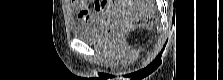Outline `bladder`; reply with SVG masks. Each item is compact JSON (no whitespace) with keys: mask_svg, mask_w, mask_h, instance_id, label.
<instances>
[{"mask_svg":"<svg viewBox=\"0 0 223 80\" xmlns=\"http://www.w3.org/2000/svg\"><path fill=\"white\" fill-rule=\"evenodd\" d=\"M111 12H105L97 18L86 22L75 23L71 25L72 35L80 40L94 41L104 29L106 21L110 18Z\"/></svg>","mask_w":223,"mask_h":80,"instance_id":"obj_1","label":"bladder"}]
</instances>
